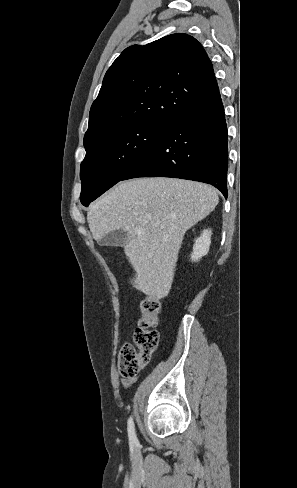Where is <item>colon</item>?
<instances>
[{
  "label": "colon",
  "instance_id": "obj_1",
  "mask_svg": "<svg viewBox=\"0 0 297 488\" xmlns=\"http://www.w3.org/2000/svg\"><path fill=\"white\" fill-rule=\"evenodd\" d=\"M159 312L160 301L155 296H147L141 301L134 335L138 350L132 344L126 343L118 355V369L123 377L133 378L149 364L159 342L156 330Z\"/></svg>",
  "mask_w": 297,
  "mask_h": 488
}]
</instances>
